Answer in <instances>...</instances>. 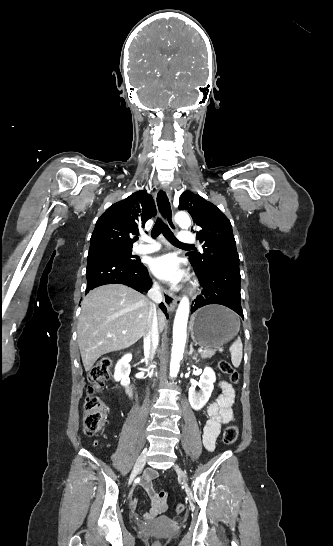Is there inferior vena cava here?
Segmentation results:
<instances>
[{
  "label": "inferior vena cava",
  "instance_id": "obj_1",
  "mask_svg": "<svg viewBox=\"0 0 333 546\" xmlns=\"http://www.w3.org/2000/svg\"><path fill=\"white\" fill-rule=\"evenodd\" d=\"M148 297L152 300V313L148 322L147 332L144 335V347L153 356L159 343L157 305L163 300L158 283H154L153 287L148 291Z\"/></svg>",
  "mask_w": 333,
  "mask_h": 546
}]
</instances>
